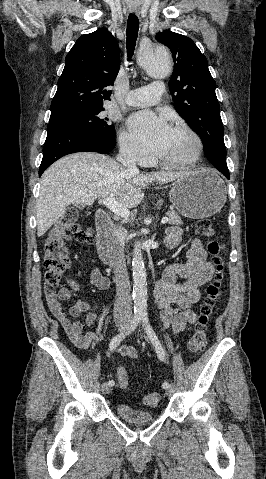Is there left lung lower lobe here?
<instances>
[{"mask_svg":"<svg viewBox=\"0 0 266 479\" xmlns=\"http://www.w3.org/2000/svg\"><path fill=\"white\" fill-rule=\"evenodd\" d=\"M221 173H223V175H225V177L227 179H229V170H225V169H222V170H219Z\"/></svg>","mask_w":266,"mask_h":479,"instance_id":"0a47b994","label":"left lung lower lobe"}]
</instances>
